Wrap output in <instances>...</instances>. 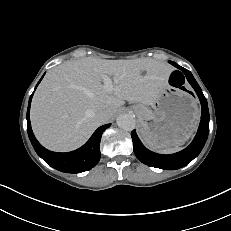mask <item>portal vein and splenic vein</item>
<instances>
[{"mask_svg":"<svg viewBox=\"0 0 231 231\" xmlns=\"http://www.w3.org/2000/svg\"><path fill=\"white\" fill-rule=\"evenodd\" d=\"M103 82L107 91H111L113 89L112 81L108 76H103Z\"/></svg>","mask_w":231,"mask_h":231,"instance_id":"obj_1","label":"portal vein and splenic vein"}]
</instances>
